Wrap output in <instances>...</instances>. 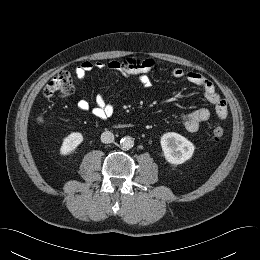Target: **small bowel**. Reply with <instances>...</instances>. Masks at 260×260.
I'll return each instance as SVG.
<instances>
[{"mask_svg":"<svg viewBox=\"0 0 260 260\" xmlns=\"http://www.w3.org/2000/svg\"><path fill=\"white\" fill-rule=\"evenodd\" d=\"M157 66L154 59H125V60H112L108 63L83 61L74 70L75 76L79 80H83L86 75L93 69L104 70L105 68L129 76L137 78L138 82L143 87H149L151 84L150 72ZM172 75L178 79H185L189 83L201 87L206 99L213 104L216 116L224 120L228 116V108L226 101L217 93L213 83L203 75L194 72L186 71L181 67L172 68ZM78 108L82 112H87L90 109V104L86 100L78 102ZM114 112V106L99 95L96 98V104L92 109V114L96 119L106 120ZM210 117V112L206 108H199L188 114L181 116V121L189 132H196L201 123L206 122Z\"/></svg>","mask_w":260,"mask_h":260,"instance_id":"1","label":"small bowel"}]
</instances>
